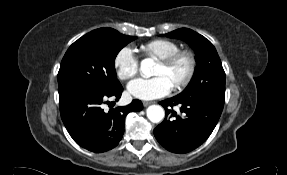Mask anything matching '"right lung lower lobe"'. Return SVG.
<instances>
[{"label":"right lung lower lobe","mask_w":287,"mask_h":175,"mask_svg":"<svg viewBox=\"0 0 287 175\" xmlns=\"http://www.w3.org/2000/svg\"><path fill=\"white\" fill-rule=\"evenodd\" d=\"M122 91L121 86L112 92L73 89L59 94L62 121L78 145L95 153L118 145L124 134L126 115L143 108L141 101L133 100L128 106L105 112L103 104L107 98L113 97L117 101Z\"/></svg>","instance_id":"1"}]
</instances>
